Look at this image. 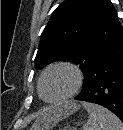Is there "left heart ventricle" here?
<instances>
[{
    "label": "left heart ventricle",
    "mask_w": 123,
    "mask_h": 130,
    "mask_svg": "<svg viewBox=\"0 0 123 130\" xmlns=\"http://www.w3.org/2000/svg\"><path fill=\"white\" fill-rule=\"evenodd\" d=\"M74 85V76L68 69L56 68L49 71L43 81L44 97L50 100L67 94Z\"/></svg>",
    "instance_id": "1"
}]
</instances>
